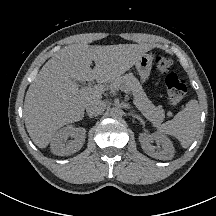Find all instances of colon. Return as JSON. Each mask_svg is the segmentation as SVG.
<instances>
[{
  "mask_svg": "<svg viewBox=\"0 0 216 216\" xmlns=\"http://www.w3.org/2000/svg\"><path fill=\"white\" fill-rule=\"evenodd\" d=\"M154 64L158 72L165 76V84L172 106L180 104L187 92L185 81L172 72L174 61L170 56L158 55Z\"/></svg>",
  "mask_w": 216,
  "mask_h": 216,
  "instance_id": "1",
  "label": "colon"
}]
</instances>
